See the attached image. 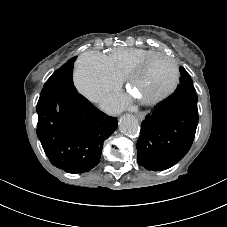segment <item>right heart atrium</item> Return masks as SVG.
Here are the masks:
<instances>
[{
	"mask_svg": "<svg viewBox=\"0 0 227 227\" xmlns=\"http://www.w3.org/2000/svg\"><path fill=\"white\" fill-rule=\"evenodd\" d=\"M74 80L80 92L92 101L101 100L122 84V78L110 66L106 55L85 52L78 60Z\"/></svg>",
	"mask_w": 227,
	"mask_h": 227,
	"instance_id": "obj_1",
	"label": "right heart atrium"
}]
</instances>
